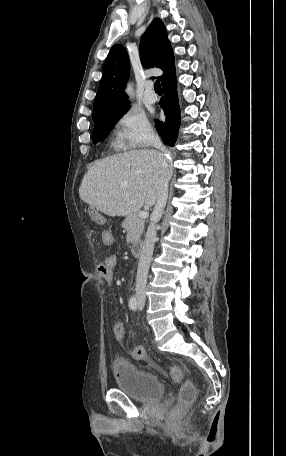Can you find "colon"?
Wrapping results in <instances>:
<instances>
[{
	"mask_svg": "<svg viewBox=\"0 0 286 456\" xmlns=\"http://www.w3.org/2000/svg\"><path fill=\"white\" fill-rule=\"evenodd\" d=\"M129 354L132 358L136 360L150 364L145 349L143 347L137 346L131 349L129 351ZM168 371L173 381L177 383L182 381V370L179 366H171L169 367ZM194 394V386L191 383H185L180 390V400L182 405L175 410V413H180L182 411V407L188 405L193 400Z\"/></svg>",
	"mask_w": 286,
	"mask_h": 456,
	"instance_id": "colon-1",
	"label": "colon"
}]
</instances>
